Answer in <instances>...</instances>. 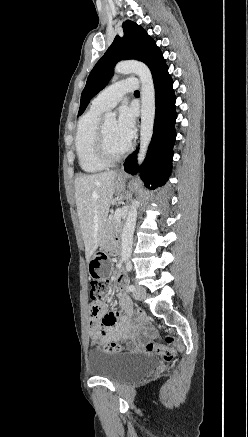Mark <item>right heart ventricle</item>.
<instances>
[{
	"label": "right heart ventricle",
	"instance_id": "1",
	"mask_svg": "<svg viewBox=\"0 0 248 437\" xmlns=\"http://www.w3.org/2000/svg\"><path fill=\"white\" fill-rule=\"evenodd\" d=\"M104 110L91 106L79 119L75 149L80 168L86 173H97L106 168L96 154V137L100 116Z\"/></svg>",
	"mask_w": 248,
	"mask_h": 437
}]
</instances>
